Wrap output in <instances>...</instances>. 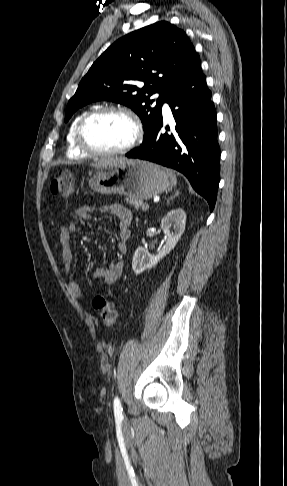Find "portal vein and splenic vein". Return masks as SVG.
Listing matches in <instances>:
<instances>
[{
    "instance_id": "18ae733b",
    "label": "portal vein and splenic vein",
    "mask_w": 287,
    "mask_h": 486,
    "mask_svg": "<svg viewBox=\"0 0 287 486\" xmlns=\"http://www.w3.org/2000/svg\"><path fill=\"white\" fill-rule=\"evenodd\" d=\"M148 209H149V205L147 203L143 204L142 210L147 211Z\"/></svg>"
}]
</instances>
